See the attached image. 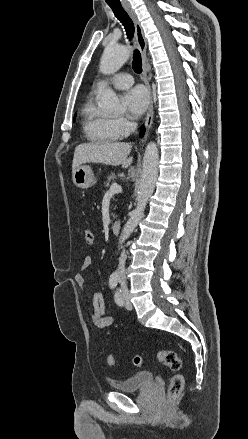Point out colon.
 Here are the masks:
<instances>
[{
	"mask_svg": "<svg viewBox=\"0 0 248 439\" xmlns=\"http://www.w3.org/2000/svg\"><path fill=\"white\" fill-rule=\"evenodd\" d=\"M83 237L87 244L92 245L94 243V234L91 230L85 229L83 231ZM155 359L164 363L169 369L175 372L179 371L182 366V361L180 357L173 351H167V350L158 351L155 354ZM106 362L109 366H115L117 364L116 358L111 354H108L106 356ZM143 362H144L143 356L141 355L134 356L133 364L135 366H141ZM183 387H184V377L179 373L175 374L171 378V382L168 387V391H167L168 400L171 402L177 400L183 391Z\"/></svg>",
	"mask_w": 248,
	"mask_h": 439,
	"instance_id": "obj_1",
	"label": "colon"
}]
</instances>
